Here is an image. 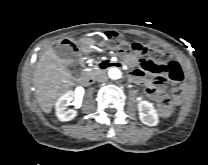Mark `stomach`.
Instances as JSON below:
<instances>
[{"label":"stomach","instance_id":"stomach-1","mask_svg":"<svg viewBox=\"0 0 208 165\" xmlns=\"http://www.w3.org/2000/svg\"><path fill=\"white\" fill-rule=\"evenodd\" d=\"M84 46H89V45H93L96 43V41L94 39L88 38L86 40H84Z\"/></svg>","mask_w":208,"mask_h":165}]
</instances>
